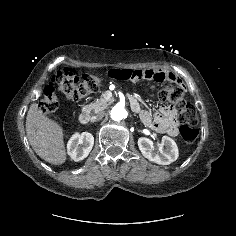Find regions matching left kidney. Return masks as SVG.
Masks as SVG:
<instances>
[{
    "label": "left kidney",
    "mask_w": 236,
    "mask_h": 236,
    "mask_svg": "<svg viewBox=\"0 0 236 236\" xmlns=\"http://www.w3.org/2000/svg\"><path fill=\"white\" fill-rule=\"evenodd\" d=\"M138 147L145 158L160 165L176 161L179 154L177 144L168 136L162 137L158 150L154 148L153 141L146 137L138 139Z\"/></svg>",
    "instance_id": "left-kidney-1"
}]
</instances>
